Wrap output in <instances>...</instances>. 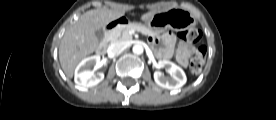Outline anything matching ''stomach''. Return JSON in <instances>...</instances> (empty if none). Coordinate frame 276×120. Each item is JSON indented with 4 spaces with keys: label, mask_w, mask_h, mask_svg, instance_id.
<instances>
[{
    "label": "stomach",
    "mask_w": 276,
    "mask_h": 120,
    "mask_svg": "<svg viewBox=\"0 0 276 120\" xmlns=\"http://www.w3.org/2000/svg\"><path fill=\"white\" fill-rule=\"evenodd\" d=\"M144 23L154 33H162L167 29L180 32L193 28L196 25V20L191 12L176 7L157 11Z\"/></svg>",
    "instance_id": "stomach-1"
}]
</instances>
